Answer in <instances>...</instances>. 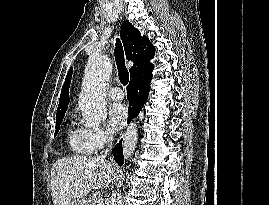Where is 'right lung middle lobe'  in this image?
<instances>
[{
	"label": "right lung middle lobe",
	"mask_w": 269,
	"mask_h": 205,
	"mask_svg": "<svg viewBox=\"0 0 269 205\" xmlns=\"http://www.w3.org/2000/svg\"><path fill=\"white\" fill-rule=\"evenodd\" d=\"M63 117L64 116H60V117H57L56 118V131H55V135L58 133L59 131V128H60V124L62 123L63 121Z\"/></svg>",
	"instance_id": "dd1d6c3e"
}]
</instances>
